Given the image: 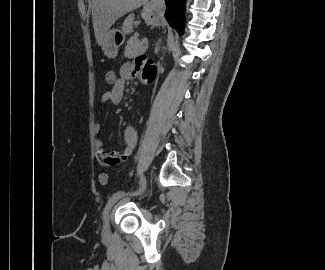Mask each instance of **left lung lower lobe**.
<instances>
[{"label": "left lung lower lobe", "mask_w": 325, "mask_h": 270, "mask_svg": "<svg viewBox=\"0 0 325 270\" xmlns=\"http://www.w3.org/2000/svg\"><path fill=\"white\" fill-rule=\"evenodd\" d=\"M166 12L165 18L168 23L175 28L179 34L184 28V4L185 0H165Z\"/></svg>", "instance_id": "1"}]
</instances>
